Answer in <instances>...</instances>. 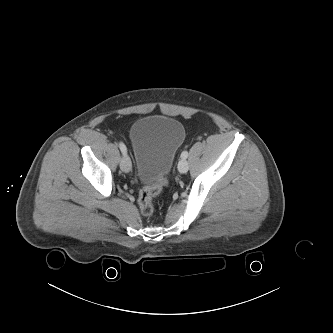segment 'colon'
<instances>
[{
    "label": "colon",
    "mask_w": 333,
    "mask_h": 333,
    "mask_svg": "<svg viewBox=\"0 0 333 333\" xmlns=\"http://www.w3.org/2000/svg\"><path fill=\"white\" fill-rule=\"evenodd\" d=\"M168 181L163 178L160 182L144 187L138 197L140 212L144 216H150L154 212V199L161 194Z\"/></svg>",
    "instance_id": "obj_1"
}]
</instances>
